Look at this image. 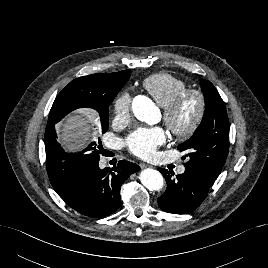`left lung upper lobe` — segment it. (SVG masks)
I'll list each match as a JSON object with an SVG mask.
<instances>
[{"mask_svg":"<svg viewBox=\"0 0 268 268\" xmlns=\"http://www.w3.org/2000/svg\"><path fill=\"white\" fill-rule=\"evenodd\" d=\"M201 85L204 117L193 136L180 144L178 150L188 153L185 167L201 170L216 180L227 158L230 126L225 104L214 85L208 80H202Z\"/></svg>","mask_w":268,"mask_h":268,"instance_id":"5c2ea615","label":"left lung upper lobe"}]
</instances>
